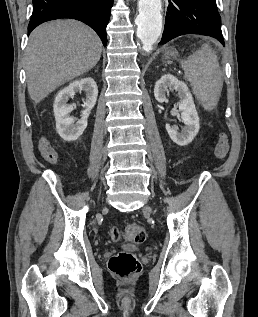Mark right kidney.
<instances>
[{"label": "right kidney", "mask_w": 258, "mask_h": 317, "mask_svg": "<svg viewBox=\"0 0 258 317\" xmlns=\"http://www.w3.org/2000/svg\"><path fill=\"white\" fill-rule=\"evenodd\" d=\"M78 90H85L86 100L84 102L86 108L81 110V118H78L75 122L73 116H70L73 106L67 104L69 96H73ZM98 96V86L91 76L87 78H79V80H73L68 86L59 90L55 96L53 110L56 120V130L64 140H76L81 136L83 130L87 126V118L90 114L91 108H93ZM75 122V124H74Z\"/></svg>", "instance_id": "right-kidney-1"}]
</instances>
